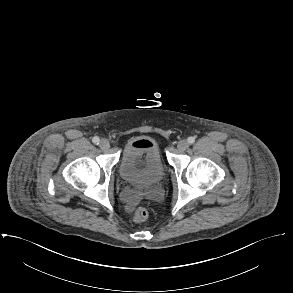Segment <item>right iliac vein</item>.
Wrapping results in <instances>:
<instances>
[{
    "mask_svg": "<svg viewBox=\"0 0 293 293\" xmlns=\"http://www.w3.org/2000/svg\"><path fill=\"white\" fill-rule=\"evenodd\" d=\"M99 146L102 150H106L110 147V144L108 142V140L106 139H102L100 142H99Z\"/></svg>",
    "mask_w": 293,
    "mask_h": 293,
    "instance_id": "right-iliac-vein-1",
    "label": "right iliac vein"
}]
</instances>
